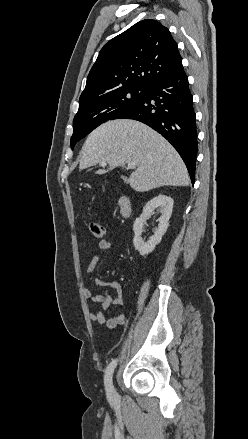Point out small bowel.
Returning a JSON list of instances; mask_svg holds the SVG:
<instances>
[{
    "mask_svg": "<svg viewBox=\"0 0 248 439\" xmlns=\"http://www.w3.org/2000/svg\"><path fill=\"white\" fill-rule=\"evenodd\" d=\"M110 245L111 244L108 240L103 239L99 242V249L100 251H106L110 248ZM100 260V254L94 255L90 263L88 264L86 270L87 273H92ZM95 284L101 290V292L93 294L89 288L85 287L83 288V295L86 299L92 301L95 304H100L105 311H107L111 306H123V288L119 281L96 279ZM111 291L114 292V295L111 293ZM90 319L100 326H104L107 328H115L125 325L128 322V319L124 314H119L110 318H106L100 310L91 312Z\"/></svg>",
    "mask_w": 248,
    "mask_h": 439,
    "instance_id": "obj_1",
    "label": "small bowel"
}]
</instances>
